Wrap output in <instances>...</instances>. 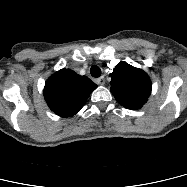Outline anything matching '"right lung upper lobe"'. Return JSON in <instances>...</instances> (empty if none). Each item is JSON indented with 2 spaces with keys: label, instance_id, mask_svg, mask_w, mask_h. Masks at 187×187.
Here are the masks:
<instances>
[{
  "label": "right lung upper lobe",
  "instance_id": "cb5924a9",
  "mask_svg": "<svg viewBox=\"0 0 187 187\" xmlns=\"http://www.w3.org/2000/svg\"><path fill=\"white\" fill-rule=\"evenodd\" d=\"M97 87L86 76L61 69L48 78L44 97L50 109L61 117H71L80 111L90 93Z\"/></svg>",
  "mask_w": 187,
  "mask_h": 187
}]
</instances>
